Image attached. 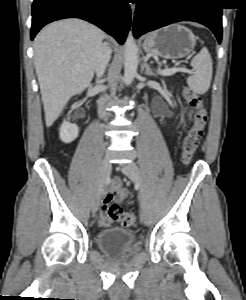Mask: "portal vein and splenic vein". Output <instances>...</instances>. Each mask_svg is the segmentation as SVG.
Returning a JSON list of instances; mask_svg holds the SVG:
<instances>
[{
	"label": "portal vein and splenic vein",
	"instance_id": "18ae733b",
	"mask_svg": "<svg viewBox=\"0 0 246 300\" xmlns=\"http://www.w3.org/2000/svg\"><path fill=\"white\" fill-rule=\"evenodd\" d=\"M177 72H184V73H189V74L192 73L191 70H188V69H185V68L173 67L171 69H165V70L158 71V74L162 75V76H172Z\"/></svg>",
	"mask_w": 246,
	"mask_h": 300
}]
</instances>
